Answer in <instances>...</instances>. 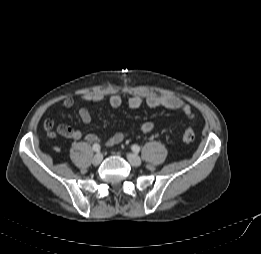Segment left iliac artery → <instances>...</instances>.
I'll return each instance as SVG.
<instances>
[{
  "instance_id": "obj_1",
  "label": "left iliac artery",
  "mask_w": 261,
  "mask_h": 254,
  "mask_svg": "<svg viewBox=\"0 0 261 254\" xmlns=\"http://www.w3.org/2000/svg\"><path fill=\"white\" fill-rule=\"evenodd\" d=\"M131 149L136 153L140 151V147L138 145H132Z\"/></svg>"
}]
</instances>
